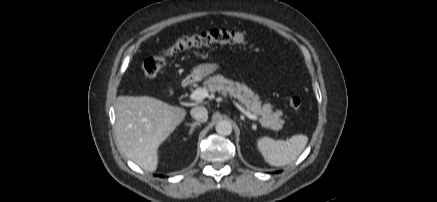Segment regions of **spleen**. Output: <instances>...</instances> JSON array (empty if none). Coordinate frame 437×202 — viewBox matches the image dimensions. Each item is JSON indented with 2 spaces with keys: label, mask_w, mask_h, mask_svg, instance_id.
<instances>
[{
  "label": "spleen",
  "mask_w": 437,
  "mask_h": 202,
  "mask_svg": "<svg viewBox=\"0 0 437 202\" xmlns=\"http://www.w3.org/2000/svg\"><path fill=\"white\" fill-rule=\"evenodd\" d=\"M307 143L308 137L303 134L294 135L286 141L261 137L257 140V148L269 165L280 167L296 160Z\"/></svg>",
  "instance_id": "obj_1"
}]
</instances>
